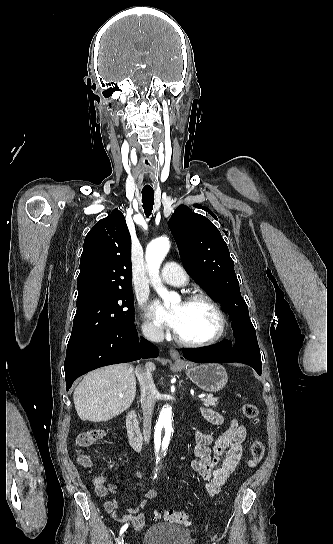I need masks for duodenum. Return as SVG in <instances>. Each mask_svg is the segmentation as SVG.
I'll return each mask as SVG.
<instances>
[{"mask_svg": "<svg viewBox=\"0 0 333 544\" xmlns=\"http://www.w3.org/2000/svg\"><path fill=\"white\" fill-rule=\"evenodd\" d=\"M126 427L131 446L136 451H141L143 447V435L135 411L128 412L126 416Z\"/></svg>", "mask_w": 333, "mask_h": 544, "instance_id": "410a0bca", "label": "duodenum"}]
</instances>
